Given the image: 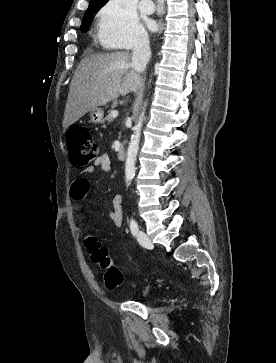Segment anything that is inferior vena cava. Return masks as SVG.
Segmentation results:
<instances>
[{"label": "inferior vena cava", "mask_w": 276, "mask_h": 363, "mask_svg": "<svg viewBox=\"0 0 276 363\" xmlns=\"http://www.w3.org/2000/svg\"><path fill=\"white\" fill-rule=\"evenodd\" d=\"M149 37L147 34L140 35L132 49V67L136 72H143L151 57Z\"/></svg>", "instance_id": "602c4592"}]
</instances>
